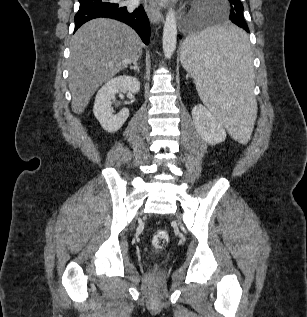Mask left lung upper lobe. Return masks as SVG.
I'll list each match as a JSON object with an SVG mask.
<instances>
[{"instance_id": "left-lung-upper-lobe-1", "label": "left lung upper lobe", "mask_w": 307, "mask_h": 317, "mask_svg": "<svg viewBox=\"0 0 307 317\" xmlns=\"http://www.w3.org/2000/svg\"><path fill=\"white\" fill-rule=\"evenodd\" d=\"M230 4V20L237 18L241 23L246 24L243 16V5L240 0H228Z\"/></svg>"}]
</instances>
